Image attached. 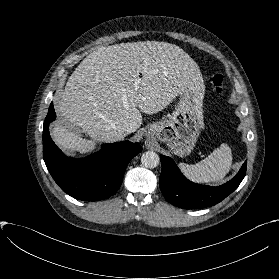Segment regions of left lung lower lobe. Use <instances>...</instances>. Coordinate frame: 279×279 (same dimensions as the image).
<instances>
[{
	"label": "left lung lower lobe",
	"mask_w": 279,
	"mask_h": 279,
	"mask_svg": "<svg viewBox=\"0 0 279 279\" xmlns=\"http://www.w3.org/2000/svg\"><path fill=\"white\" fill-rule=\"evenodd\" d=\"M162 171L159 185L168 202L182 209H201L221 202L241 183L246 174L245 162L237 175L227 183L211 187L186 179L170 157L160 156Z\"/></svg>",
	"instance_id": "0a47b994"
}]
</instances>
